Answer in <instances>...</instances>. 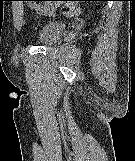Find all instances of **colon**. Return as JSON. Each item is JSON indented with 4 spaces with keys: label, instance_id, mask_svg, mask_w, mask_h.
Instances as JSON below:
<instances>
[{
    "label": "colon",
    "instance_id": "colon-1",
    "mask_svg": "<svg viewBox=\"0 0 135 161\" xmlns=\"http://www.w3.org/2000/svg\"><path fill=\"white\" fill-rule=\"evenodd\" d=\"M52 1L54 3L53 7H57L62 3L61 5V12L65 16H75L80 12V8L77 6L76 2L73 0H47Z\"/></svg>",
    "mask_w": 135,
    "mask_h": 161
}]
</instances>
